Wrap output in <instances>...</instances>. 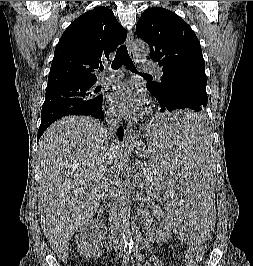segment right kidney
Returning <instances> with one entry per match:
<instances>
[{
    "label": "right kidney",
    "instance_id": "obj_1",
    "mask_svg": "<svg viewBox=\"0 0 253 266\" xmlns=\"http://www.w3.org/2000/svg\"><path fill=\"white\" fill-rule=\"evenodd\" d=\"M103 226L96 220L90 219L78 228L76 243L79 253L85 258L102 256L106 242L103 241Z\"/></svg>",
    "mask_w": 253,
    "mask_h": 266
}]
</instances>
